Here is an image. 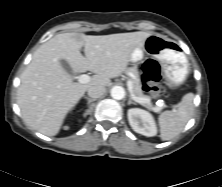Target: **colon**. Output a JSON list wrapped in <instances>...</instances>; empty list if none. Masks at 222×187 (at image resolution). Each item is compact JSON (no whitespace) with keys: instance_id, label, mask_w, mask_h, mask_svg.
I'll use <instances>...</instances> for the list:
<instances>
[{"instance_id":"colon-1","label":"colon","mask_w":222,"mask_h":187,"mask_svg":"<svg viewBox=\"0 0 222 187\" xmlns=\"http://www.w3.org/2000/svg\"><path fill=\"white\" fill-rule=\"evenodd\" d=\"M161 74L158 64L149 59L143 67V86L144 90L155 96L161 95L164 92L165 86L160 82Z\"/></svg>"}]
</instances>
